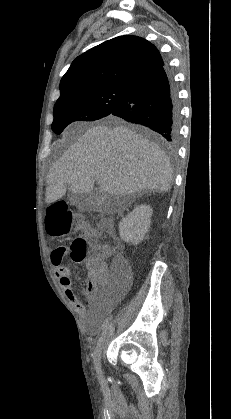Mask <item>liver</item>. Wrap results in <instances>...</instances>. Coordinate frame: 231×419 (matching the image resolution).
I'll list each match as a JSON object with an SVG mask.
<instances>
[{
	"mask_svg": "<svg viewBox=\"0 0 231 419\" xmlns=\"http://www.w3.org/2000/svg\"><path fill=\"white\" fill-rule=\"evenodd\" d=\"M172 168L163 150L135 131L118 125L89 128L47 175L46 203L66 193L89 194L95 182L106 195H129L171 188Z\"/></svg>",
	"mask_w": 231,
	"mask_h": 419,
	"instance_id": "obj_1",
	"label": "liver"
}]
</instances>
